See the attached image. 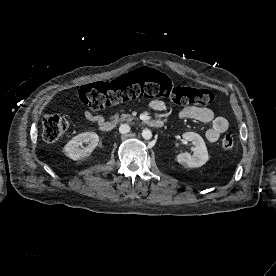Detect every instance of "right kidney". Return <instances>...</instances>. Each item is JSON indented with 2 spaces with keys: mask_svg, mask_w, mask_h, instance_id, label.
Returning a JSON list of instances; mask_svg holds the SVG:
<instances>
[{
  "mask_svg": "<svg viewBox=\"0 0 276 276\" xmlns=\"http://www.w3.org/2000/svg\"><path fill=\"white\" fill-rule=\"evenodd\" d=\"M86 142V148H80ZM99 142V136L95 132H84L73 137L65 146L64 154L72 160H83L90 156Z\"/></svg>",
  "mask_w": 276,
  "mask_h": 276,
  "instance_id": "1",
  "label": "right kidney"
}]
</instances>
